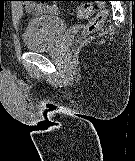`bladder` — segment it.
<instances>
[{"instance_id": "1", "label": "bladder", "mask_w": 135, "mask_h": 161, "mask_svg": "<svg viewBox=\"0 0 135 161\" xmlns=\"http://www.w3.org/2000/svg\"><path fill=\"white\" fill-rule=\"evenodd\" d=\"M65 30V22L58 16L33 17L27 21L23 42L30 51L49 50L56 46Z\"/></svg>"}]
</instances>
